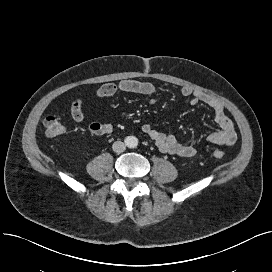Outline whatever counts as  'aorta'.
<instances>
[{"instance_id": "762f6f07", "label": "aorta", "mask_w": 272, "mask_h": 272, "mask_svg": "<svg viewBox=\"0 0 272 272\" xmlns=\"http://www.w3.org/2000/svg\"><path fill=\"white\" fill-rule=\"evenodd\" d=\"M127 146L130 148H134L138 145V139L135 136H128L126 138Z\"/></svg>"}]
</instances>
